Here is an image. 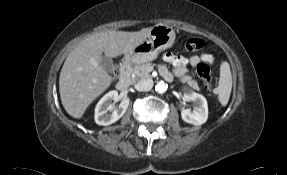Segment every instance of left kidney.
Returning <instances> with one entry per match:
<instances>
[{"label":"left kidney","mask_w":287,"mask_h":175,"mask_svg":"<svg viewBox=\"0 0 287 175\" xmlns=\"http://www.w3.org/2000/svg\"><path fill=\"white\" fill-rule=\"evenodd\" d=\"M187 101L194 103V109H183L181 111L182 119L193 125H202L208 118V104L206 98L196 92H188L185 95Z\"/></svg>","instance_id":"obj_1"}]
</instances>
